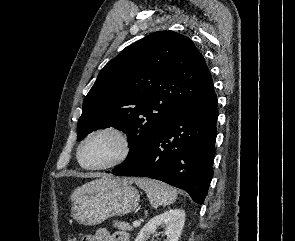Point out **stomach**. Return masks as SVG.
<instances>
[{
  "label": "stomach",
  "instance_id": "1",
  "mask_svg": "<svg viewBox=\"0 0 295 241\" xmlns=\"http://www.w3.org/2000/svg\"><path fill=\"white\" fill-rule=\"evenodd\" d=\"M140 195L125 179L95 184L79 194L72 206V217L80 224L94 226L109 217L126 215L135 210Z\"/></svg>",
  "mask_w": 295,
  "mask_h": 241
}]
</instances>
